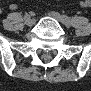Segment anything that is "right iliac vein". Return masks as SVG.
I'll return each instance as SVG.
<instances>
[{
    "label": "right iliac vein",
    "mask_w": 91,
    "mask_h": 91,
    "mask_svg": "<svg viewBox=\"0 0 91 91\" xmlns=\"http://www.w3.org/2000/svg\"><path fill=\"white\" fill-rule=\"evenodd\" d=\"M24 22L27 26H32L34 24V19L30 16L24 17Z\"/></svg>",
    "instance_id": "obj_1"
}]
</instances>
